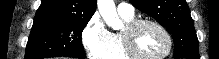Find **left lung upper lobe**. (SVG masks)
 <instances>
[{
  "label": "left lung upper lobe",
  "instance_id": "5c2ea615",
  "mask_svg": "<svg viewBox=\"0 0 219 59\" xmlns=\"http://www.w3.org/2000/svg\"><path fill=\"white\" fill-rule=\"evenodd\" d=\"M172 32L175 58L199 59V42L185 0H129Z\"/></svg>",
  "mask_w": 219,
  "mask_h": 59
}]
</instances>
